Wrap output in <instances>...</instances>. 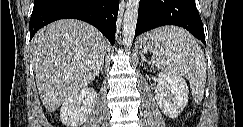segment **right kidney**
<instances>
[{"instance_id":"ca27d5eb","label":"right kidney","mask_w":243,"mask_h":127,"mask_svg":"<svg viewBox=\"0 0 243 127\" xmlns=\"http://www.w3.org/2000/svg\"><path fill=\"white\" fill-rule=\"evenodd\" d=\"M97 100L93 88H83L66 99L60 109L61 122L67 127H79L90 116Z\"/></svg>"}]
</instances>
